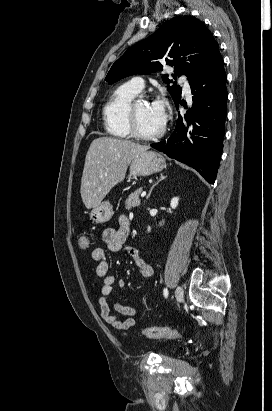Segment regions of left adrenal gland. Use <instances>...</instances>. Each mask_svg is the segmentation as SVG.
I'll return each instance as SVG.
<instances>
[{
	"mask_svg": "<svg viewBox=\"0 0 272 411\" xmlns=\"http://www.w3.org/2000/svg\"><path fill=\"white\" fill-rule=\"evenodd\" d=\"M165 178H166V176H164L163 174L160 175L159 180H158V181L152 186V188L150 189L149 194H148V196H147V199L150 197L153 188H154L160 181L164 180Z\"/></svg>",
	"mask_w": 272,
	"mask_h": 411,
	"instance_id": "a2214340",
	"label": "left adrenal gland"
}]
</instances>
